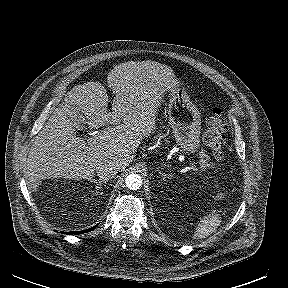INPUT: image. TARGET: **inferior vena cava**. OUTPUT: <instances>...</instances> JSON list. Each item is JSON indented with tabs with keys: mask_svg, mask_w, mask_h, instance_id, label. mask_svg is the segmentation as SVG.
<instances>
[{
	"mask_svg": "<svg viewBox=\"0 0 288 288\" xmlns=\"http://www.w3.org/2000/svg\"><path fill=\"white\" fill-rule=\"evenodd\" d=\"M119 169V165L113 161H104L96 165L95 171L101 179L109 180L114 178Z\"/></svg>",
	"mask_w": 288,
	"mask_h": 288,
	"instance_id": "obj_1",
	"label": "inferior vena cava"
}]
</instances>
